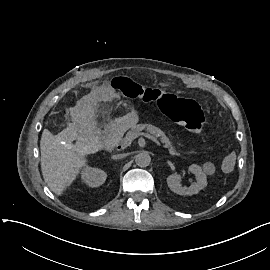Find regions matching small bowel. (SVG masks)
Segmentation results:
<instances>
[{"mask_svg":"<svg viewBox=\"0 0 270 270\" xmlns=\"http://www.w3.org/2000/svg\"><path fill=\"white\" fill-rule=\"evenodd\" d=\"M97 93L103 97H114V94L108 88H99Z\"/></svg>","mask_w":270,"mask_h":270,"instance_id":"obj_1","label":"small bowel"}]
</instances>
